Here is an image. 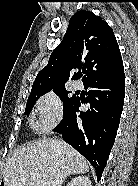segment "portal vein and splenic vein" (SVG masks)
I'll use <instances>...</instances> for the list:
<instances>
[{
	"mask_svg": "<svg viewBox=\"0 0 138 186\" xmlns=\"http://www.w3.org/2000/svg\"><path fill=\"white\" fill-rule=\"evenodd\" d=\"M30 175L37 186H46L45 182L36 177L35 174L31 173Z\"/></svg>",
	"mask_w": 138,
	"mask_h": 186,
	"instance_id": "1",
	"label": "portal vein and splenic vein"
}]
</instances>
